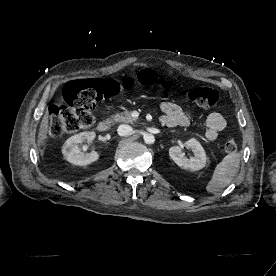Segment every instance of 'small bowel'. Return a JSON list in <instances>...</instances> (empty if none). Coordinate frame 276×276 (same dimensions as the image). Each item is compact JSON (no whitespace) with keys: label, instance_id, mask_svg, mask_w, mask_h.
Wrapping results in <instances>:
<instances>
[{"label":"small bowel","instance_id":"c3829d8e","mask_svg":"<svg viewBox=\"0 0 276 276\" xmlns=\"http://www.w3.org/2000/svg\"><path fill=\"white\" fill-rule=\"evenodd\" d=\"M161 110L164 115L161 122L168 127L188 126L190 119L183 111V109L172 102H164L161 104ZM207 129L205 131V138L208 141H215L221 131L226 127L225 118L218 112H211L206 117Z\"/></svg>","mask_w":276,"mask_h":276}]
</instances>
